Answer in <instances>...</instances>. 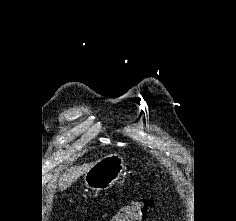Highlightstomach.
Instances as JSON below:
<instances>
[{
    "instance_id": "stomach-1",
    "label": "stomach",
    "mask_w": 236,
    "mask_h": 221,
    "mask_svg": "<svg viewBox=\"0 0 236 221\" xmlns=\"http://www.w3.org/2000/svg\"><path fill=\"white\" fill-rule=\"evenodd\" d=\"M125 168V161L119 154L106 155L85 173V185L93 191L106 190L118 181Z\"/></svg>"
}]
</instances>
